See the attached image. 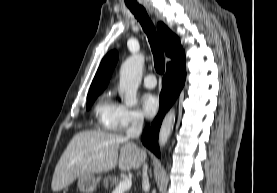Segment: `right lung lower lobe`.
<instances>
[{
	"mask_svg": "<svg viewBox=\"0 0 277 193\" xmlns=\"http://www.w3.org/2000/svg\"><path fill=\"white\" fill-rule=\"evenodd\" d=\"M186 78L185 54L167 65V71L162 80L160 93L161 108L158 117L151 128H145L142 135L143 144L156 156H160L158 134L162 118L178 97Z\"/></svg>",
	"mask_w": 277,
	"mask_h": 193,
	"instance_id": "obj_1",
	"label": "right lung lower lobe"
}]
</instances>
